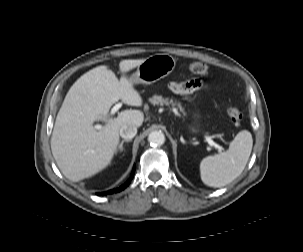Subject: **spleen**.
Returning a JSON list of instances; mask_svg holds the SVG:
<instances>
[{
  "label": "spleen",
  "instance_id": "1",
  "mask_svg": "<svg viewBox=\"0 0 303 252\" xmlns=\"http://www.w3.org/2000/svg\"><path fill=\"white\" fill-rule=\"evenodd\" d=\"M253 147L252 135L247 130L240 131L225 152L203 158L200 176L210 187H222L231 183L244 170Z\"/></svg>",
  "mask_w": 303,
  "mask_h": 252
}]
</instances>
